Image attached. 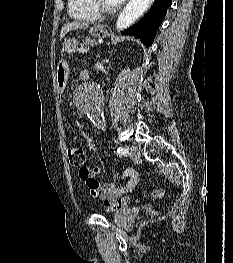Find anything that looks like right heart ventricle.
<instances>
[{"label": "right heart ventricle", "mask_w": 233, "mask_h": 263, "mask_svg": "<svg viewBox=\"0 0 233 263\" xmlns=\"http://www.w3.org/2000/svg\"><path fill=\"white\" fill-rule=\"evenodd\" d=\"M70 15L83 21H91L98 17L99 13L93 7L91 0H68Z\"/></svg>", "instance_id": "e07e8e85"}]
</instances>
